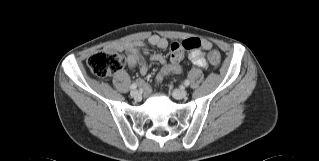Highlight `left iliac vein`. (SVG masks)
I'll list each match as a JSON object with an SVG mask.
<instances>
[{
	"label": "left iliac vein",
	"mask_w": 319,
	"mask_h": 161,
	"mask_svg": "<svg viewBox=\"0 0 319 161\" xmlns=\"http://www.w3.org/2000/svg\"><path fill=\"white\" fill-rule=\"evenodd\" d=\"M172 96L175 98V99H183L187 96V91L186 90H174L172 92Z\"/></svg>",
	"instance_id": "1"
}]
</instances>
